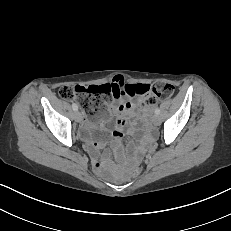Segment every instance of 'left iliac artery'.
Here are the masks:
<instances>
[{"instance_id": "left-iliac-artery-1", "label": "left iliac artery", "mask_w": 231, "mask_h": 231, "mask_svg": "<svg viewBox=\"0 0 231 231\" xmlns=\"http://www.w3.org/2000/svg\"><path fill=\"white\" fill-rule=\"evenodd\" d=\"M155 114H157V115L160 114V109L159 108L155 109Z\"/></svg>"}]
</instances>
